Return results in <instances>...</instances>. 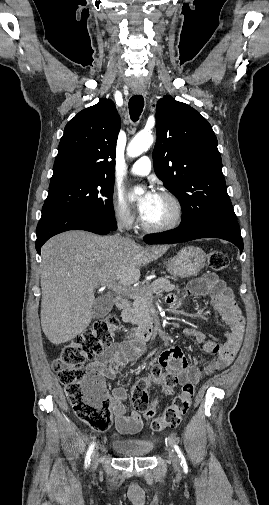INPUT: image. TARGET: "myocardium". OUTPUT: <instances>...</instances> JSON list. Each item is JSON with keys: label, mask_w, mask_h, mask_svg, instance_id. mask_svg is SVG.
Wrapping results in <instances>:
<instances>
[{"label": "myocardium", "mask_w": 269, "mask_h": 505, "mask_svg": "<svg viewBox=\"0 0 269 505\" xmlns=\"http://www.w3.org/2000/svg\"><path fill=\"white\" fill-rule=\"evenodd\" d=\"M157 194L160 196H163L171 201V203L173 204V206L175 208V216L170 222L162 224V225H150V224L146 223L145 220L142 218L141 219L142 228L145 231L151 232V233H161V232H167V231H171L173 229H176L178 226H180V224L182 223V221L184 219V207H183L181 201L179 200V198L175 194H173L172 192H170L168 190H161Z\"/></svg>", "instance_id": "myocardium-1"}]
</instances>
